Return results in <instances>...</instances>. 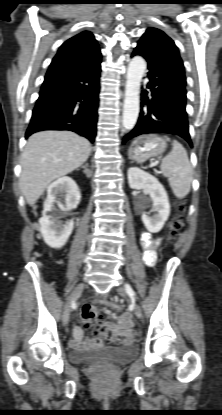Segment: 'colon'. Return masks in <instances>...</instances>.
<instances>
[{
	"label": "colon",
	"mask_w": 222,
	"mask_h": 415,
	"mask_svg": "<svg viewBox=\"0 0 222 415\" xmlns=\"http://www.w3.org/2000/svg\"><path fill=\"white\" fill-rule=\"evenodd\" d=\"M185 204L180 202L177 208L178 215L170 224V237L175 239L183 227L182 214ZM81 319L86 328L94 334H103L110 342L120 344L135 341L140 337L137 329L125 330L120 325L105 320L100 311L94 307H84Z\"/></svg>",
	"instance_id": "1"
}]
</instances>
